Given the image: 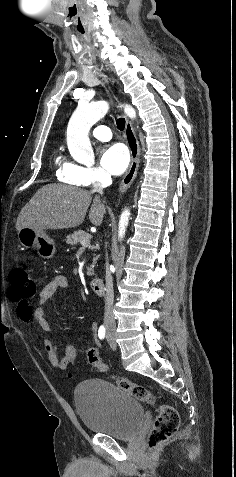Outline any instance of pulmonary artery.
<instances>
[{
	"label": "pulmonary artery",
	"mask_w": 236,
	"mask_h": 477,
	"mask_svg": "<svg viewBox=\"0 0 236 477\" xmlns=\"http://www.w3.org/2000/svg\"><path fill=\"white\" fill-rule=\"evenodd\" d=\"M92 135L100 141H109L112 138V133L107 126L99 125L92 129Z\"/></svg>",
	"instance_id": "e3ab8cb5"
}]
</instances>
